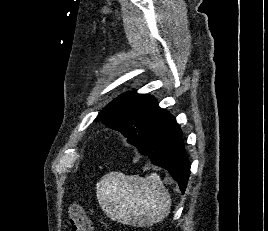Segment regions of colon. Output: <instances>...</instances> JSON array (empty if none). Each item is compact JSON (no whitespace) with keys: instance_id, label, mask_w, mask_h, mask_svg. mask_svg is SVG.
Here are the masks:
<instances>
[{"instance_id":"obj_1","label":"colon","mask_w":268,"mask_h":231,"mask_svg":"<svg viewBox=\"0 0 268 231\" xmlns=\"http://www.w3.org/2000/svg\"><path fill=\"white\" fill-rule=\"evenodd\" d=\"M69 223L72 231H92V223L80 204L73 203L68 210Z\"/></svg>"}]
</instances>
